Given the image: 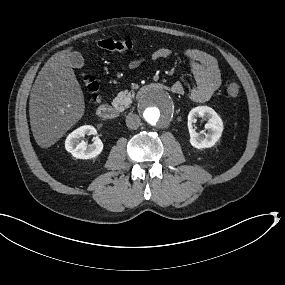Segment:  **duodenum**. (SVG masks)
Masks as SVG:
<instances>
[{
  "label": "duodenum",
  "mask_w": 285,
  "mask_h": 285,
  "mask_svg": "<svg viewBox=\"0 0 285 285\" xmlns=\"http://www.w3.org/2000/svg\"><path fill=\"white\" fill-rule=\"evenodd\" d=\"M168 90L169 88L162 83H149L142 86L136 93V97L144 95L150 89ZM97 115L102 120H113L118 117L119 111L111 104H101L97 108Z\"/></svg>",
  "instance_id": "410a0bca"
}]
</instances>
